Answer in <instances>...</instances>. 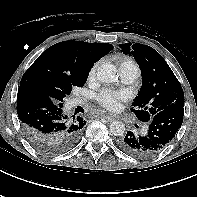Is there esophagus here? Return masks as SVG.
<instances>
[{
	"mask_svg": "<svg viewBox=\"0 0 197 197\" xmlns=\"http://www.w3.org/2000/svg\"><path fill=\"white\" fill-rule=\"evenodd\" d=\"M102 118H105L106 120H108L109 122L114 121L116 119V116L109 114V113H102L100 115Z\"/></svg>",
	"mask_w": 197,
	"mask_h": 197,
	"instance_id": "34e87169",
	"label": "esophagus"
}]
</instances>
